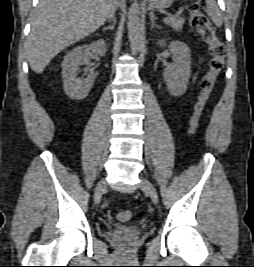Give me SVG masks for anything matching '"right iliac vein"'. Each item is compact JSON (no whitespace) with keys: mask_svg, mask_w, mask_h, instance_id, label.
Wrapping results in <instances>:
<instances>
[{"mask_svg":"<svg viewBox=\"0 0 254 267\" xmlns=\"http://www.w3.org/2000/svg\"><path fill=\"white\" fill-rule=\"evenodd\" d=\"M107 188V183L105 180H101L97 186H96V189H95V192H94V201L95 203H99L100 200H101V197H102V194L104 193V191L106 190Z\"/></svg>","mask_w":254,"mask_h":267,"instance_id":"1","label":"right iliac vein"}]
</instances>
